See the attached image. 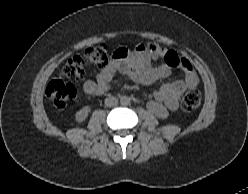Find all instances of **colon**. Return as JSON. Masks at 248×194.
<instances>
[{"label":"colon","instance_id":"colon-1","mask_svg":"<svg viewBox=\"0 0 248 194\" xmlns=\"http://www.w3.org/2000/svg\"><path fill=\"white\" fill-rule=\"evenodd\" d=\"M165 62L175 66L176 53L167 51L163 56ZM109 62L107 46L103 43L90 47L82 55L68 59L59 74L53 77L47 85L46 95L58 109L65 108L77 94L76 81L81 79L90 67H104ZM201 93L190 89L181 101V108L186 113L194 112L200 105Z\"/></svg>","mask_w":248,"mask_h":194}]
</instances>
